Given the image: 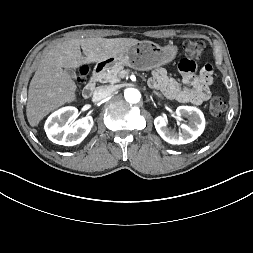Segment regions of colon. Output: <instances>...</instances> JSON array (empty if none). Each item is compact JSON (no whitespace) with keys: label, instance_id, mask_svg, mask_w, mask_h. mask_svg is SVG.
Returning a JSON list of instances; mask_svg holds the SVG:
<instances>
[{"label":"colon","instance_id":"1","mask_svg":"<svg viewBox=\"0 0 253 253\" xmlns=\"http://www.w3.org/2000/svg\"><path fill=\"white\" fill-rule=\"evenodd\" d=\"M184 58H198L202 60L209 56V49L205 42L200 40H188L184 43ZM90 68L87 65L79 67L77 72V82L83 86L89 75ZM225 110V103L222 99L214 97L209 103V112L212 116L218 117L223 114Z\"/></svg>","mask_w":253,"mask_h":253}]
</instances>
